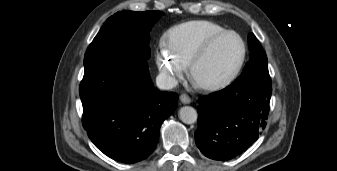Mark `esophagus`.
I'll use <instances>...</instances> for the list:
<instances>
[{"instance_id": "obj_1", "label": "esophagus", "mask_w": 337, "mask_h": 171, "mask_svg": "<svg viewBox=\"0 0 337 171\" xmlns=\"http://www.w3.org/2000/svg\"><path fill=\"white\" fill-rule=\"evenodd\" d=\"M180 101L183 104H190L191 103V98L187 94H181L180 95Z\"/></svg>"}]
</instances>
